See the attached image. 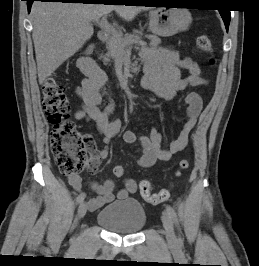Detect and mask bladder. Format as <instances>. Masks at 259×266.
<instances>
[{"mask_svg": "<svg viewBox=\"0 0 259 266\" xmlns=\"http://www.w3.org/2000/svg\"><path fill=\"white\" fill-rule=\"evenodd\" d=\"M97 222L108 231L121 235H132L144 228L146 212L137 200L117 201L98 212Z\"/></svg>", "mask_w": 259, "mask_h": 266, "instance_id": "bladder-1", "label": "bladder"}]
</instances>
